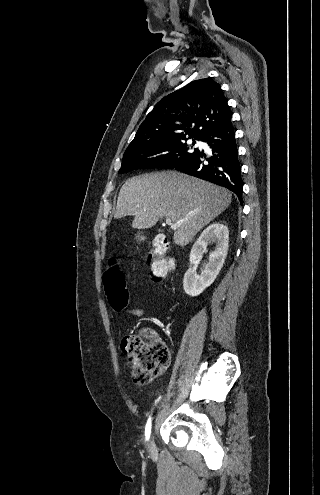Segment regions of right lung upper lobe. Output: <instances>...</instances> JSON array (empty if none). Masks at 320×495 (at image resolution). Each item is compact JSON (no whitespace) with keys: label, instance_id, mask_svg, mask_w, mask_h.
<instances>
[{"label":"right lung upper lobe","instance_id":"cb5924a9","mask_svg":"<svg viewBox=\"0 0 320 495\" xmlns=\"http://www.w3.org/2000/svg\"><path fill=\"white\" fill-rule=\"evenodd\" d=\"M228 100L212 78L190 82L161 99L140 125L126 150L201 138L231 118Z\"/></svg>","mask_w":320,"mask_h":495}]
</instances>
